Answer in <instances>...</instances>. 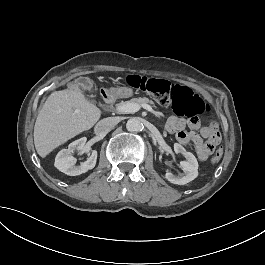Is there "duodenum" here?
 Segmentation results:
<instances>
[{
    "instance_id": "duodenum-1",
    "label": "duodenum",
    "mask_w": 265,
    "mask_h": 265,
    "mask_svg": "<svg viewBox=\"0 0 265 265\" xmlns=\"http://www.w3.org/2000/svg\"><path fill=\"white\" fill-rule=\"evenodd\" d=\"M99 94L101 97H110V95L108 94V91L105 88H100L99 89Z\"/></svg>"
}]
</instances>
